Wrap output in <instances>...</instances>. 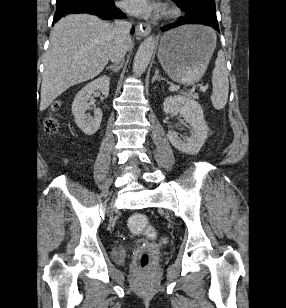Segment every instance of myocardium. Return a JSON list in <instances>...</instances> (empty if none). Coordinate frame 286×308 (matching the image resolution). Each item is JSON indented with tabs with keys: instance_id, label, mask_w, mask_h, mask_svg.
<instances>
[{
	"instance_id": "myocardium-1",
	"label": "myocardium",
	"mask_w": 286,
	"mask_h": 308,
	"mask_svg": "<svg viewBox=\"0 0 286 308\" xmlns=\"http://www.w3.org/2000/svg\"><path fill=\"white\" fill-rule=\"evenodd\" d=\"M175 10L174 9H172V8H169V9H167L166 11H165V14L166 15H173V14H175Z\"/></svg>"
}]
</instances>
